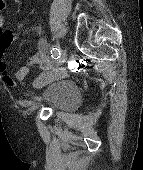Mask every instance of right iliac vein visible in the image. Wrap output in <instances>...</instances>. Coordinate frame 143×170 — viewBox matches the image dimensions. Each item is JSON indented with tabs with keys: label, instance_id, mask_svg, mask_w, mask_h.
<instances>
[{
	"label": "right iliac vein",
	"instance_id": "obj_1",
	"mask_svg": "<svg viewBox=\"0 0 143 170\" xmlns=\"http://www.w3.org/2000/svg\"><path fill=\"white\" fill-rule=\"evenodd\" d=\"M66 59H67V54H66V50H64L57 61L56 68L50 73L51 80L59 79L62 77V74L60 72V67L64 64Z\"/></svg>",
	"mask_w": 143,
	"mask_h": 170
}]
</instances>
